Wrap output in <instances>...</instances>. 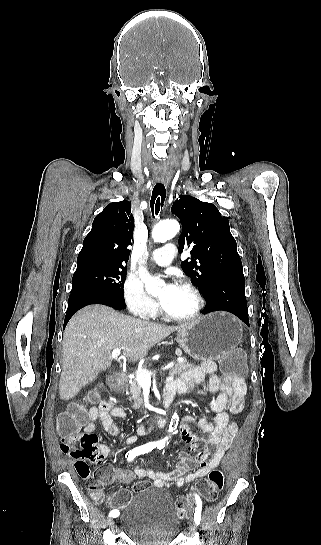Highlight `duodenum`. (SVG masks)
<instances>
[{
    "label": "duodenum",
    "instance_id": "410a0bca",
    "mask_svg": "<svg viewBox=\"0 0 321 545\" xmlns=\"http://www.w3.org/2000/svg\"><path fill=\"white\" fill-rule=\"evenodd\" d=\"M107 384L111 390L120 391L124 387L125 378L121 373L114 372L108 376ZM177 392H180V389L177 386V384L174 382L168 383L163 391L162 404L164 406H167ZM164 423H165V418L162 415H156L150 420H147L143 422L142 424H140L137 432L138 434H144L156 428H161L164 425Z\"/></svg>",
    "mask_w": 321,
    "mask_h": 545
}]
</instances>
